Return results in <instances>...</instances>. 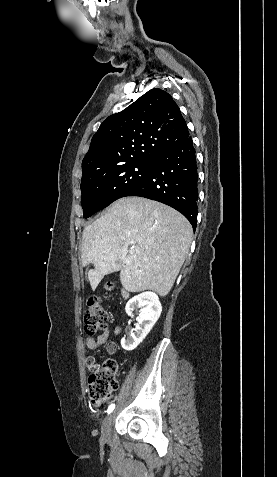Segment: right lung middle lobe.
I'll return each instance as SVG.
<instances>
[{
	"mask_svg": "<svg viewBox=\"0 0 277 477\" xmlns=\"http://www.w3.org/2000/svg\"><path fill=\"white\" fill-rule=\"evenodd\" d=\"M153 166L149 161H135L104 169L83 171L81 181L84 218L124 197L136 187Z\"/></svg>",
	"mask_w": 277,
	"mask_h": 477,
	"instance_id": "obj_1",
	"label": "right lung middle lobe"
}]
</instances>
